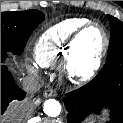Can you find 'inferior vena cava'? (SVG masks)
Here are the masks:
<instances>
[{"mask_svg": "<svg viewBox=\"0 0 123 123\" xmlns=\"http://www.w3.org/2000/svg\"><path fill=\"white\" fill-rule=\"evenodd\" d=\"M22 86L30 94L36 93L41 87L38 79L33 76L25 77L22 81Z\"/></svg>", "mask_w": 123, "mask_h": 123, "instance_id": "1", "label": "inferior vena cava"}]
</instances>
